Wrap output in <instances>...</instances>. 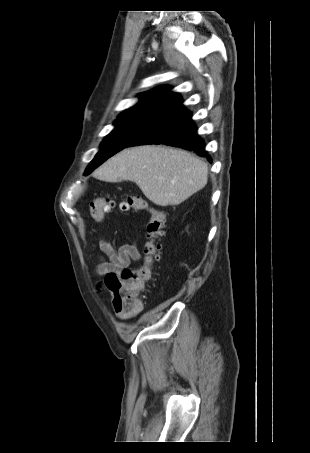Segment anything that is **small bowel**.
<instances>
[{
	"label": "small bowel",
	"mask_w": 310,
	"mask_h": 453,
	"mask_svg": "<svg viewBox=\"0 0 310 453\" xmlns=\"http://www.w3.org/2000/svg\"><path fill=\"white\" fill-rule=\"evenodd\" d=\"M99 248L106 255L107 260H103L96 268V274L103 276L98 284V290H107L106 277L110 274L120 276L122 271L125 270L131 263V261H138L141 258V253L136 243H127L119 246L118 248L106 239H99ZM119 315V314H118ZM121 319H127L129 317L119 315Z\"/></svg>",
	"instance_id": "1"
}]
</instances>
